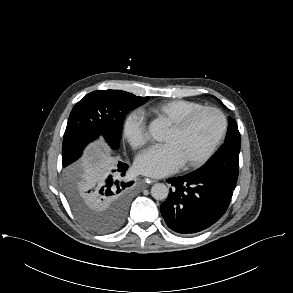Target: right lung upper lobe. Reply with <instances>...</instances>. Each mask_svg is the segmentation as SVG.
Wrapping results in <instances>:
<instances>
[{
	"mask_svg": "<svg viewBox=\"0 0 293 293\" xmlns=\"http://www.w3.org/2000/svg\"><path fill=\"white\" fill-rule=\"evenodd\" d=\"M75 166H80V165L75 164ZM75 166H73V168H75Z\"/></svg>",
	"mask_w": 293,
	"mask_h": 293,
	"instance_id": "cb5924a9",
	"label": "right lung upper lobe"
}]
</instances>
